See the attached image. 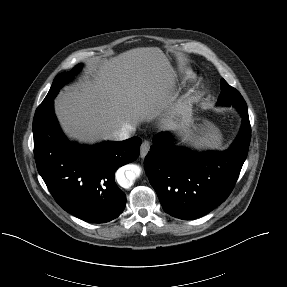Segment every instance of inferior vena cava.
Listing matches in <instances>:
<instances>
[{
	"mask_svg": "<svg viewBox=\"0 0 287 287\" xmlns=\"http://www.w3.org/2000/svg\"><path fill=\"white\" fill-rule=\"evenodd\" d=\"M134 130L135 128L130 125L123 126L121 129L116 130L111 134V139L115 141L125 140L131 136Z\"/></svg>",
	"mask_w": 287,
	"mask_h": 287,
	"instance_id": "602c4592",
	"label": "inferior vena cava"
}]
</instances>
